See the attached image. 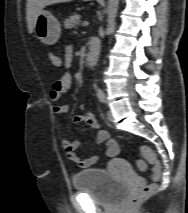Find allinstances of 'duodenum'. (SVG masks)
I'll return each mask as SVG.
<instances>
[{
    "label": "duodenum",
    "mask_w": 188,
    "mask_h": 213,
    "mask_svg": "<svg viewBox=\"0 0 188 213\" xmlns=\"http://www.w3.org/2000/svg\"><path fill=\"white\" fill-rule=\"evenodd\" d=\"M100 52V44L96 39L89 40V52L86 58V65L88 67H93L97 63L98 56Z\"/></svg>",
    "instance_id": "obj_1"
}]
</instances>
